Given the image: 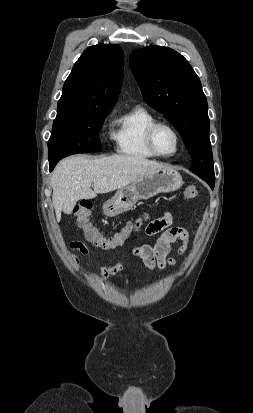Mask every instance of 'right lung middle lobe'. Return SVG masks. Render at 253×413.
Here are the masks:
<instances>
[{
    "label": "right lung middle lobe",
    "mask_w": 253,
    "mask_h": 413,
    "mask_svg": "<svg viewBox=\"0 0 253 413\" xmlns=\"http://www.w3.org/2000/svg\"><path fill=\"white\" fill-rule=\"evenodd\" d=\"M109 112L56 118L48 141L49 163L77 153L101 151L98 131Z\"/></svg>",
    "instance_id": "1"
}]
</instances>
